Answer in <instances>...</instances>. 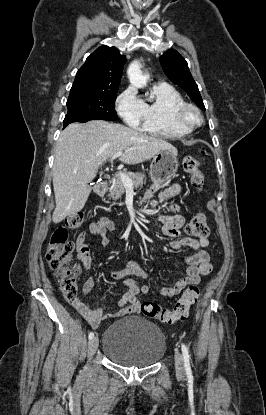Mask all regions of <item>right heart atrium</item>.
Segmentation results:
<instances>
[{
  "mask_svg": "<svg viewBox=\"0 0 266 415\" xmlns=\"http://www.w3.org/2000/svg\"><path fill=\"white\" fill-rule=\"evenodd\" d=\"M116 110L123 121L132 128H139L145 118V105L136 91L129 87L116 100Z\"/></svg>",
  "mask_w": 266,
  "mask_h": 415,
  "instance_id": "d8ad5b80",
  "label": "right heart atrium"
}]
</instances>
